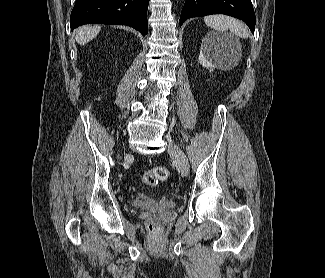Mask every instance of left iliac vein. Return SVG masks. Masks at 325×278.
<instances>
[{"label":"left iliac vein","instance_id":"obj_1","mask_svg":"<svg viewBox=\"0 0 325 278\" xmlns=\"http://www.w3.org/2000/svg\"><path fill=\"white\" fill-rule=\"evenodd\" d=\"M168 152L178 162L182 175L189 173V161L183 151L171 140L168 141Z\"/></svg>","mask_w":325,"mask_h":278}]
</instances>
